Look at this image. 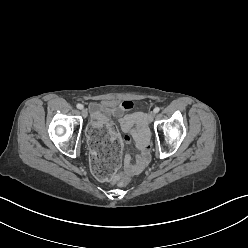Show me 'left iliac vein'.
<instances>
[{
  "label": "left iliac vein",
  "instance_id": "4c4485c4",
  "mask_svg": "<svg viewBox=\"0 0 248 248\" xmlns=\"http://www.w3.org/2000/svg\"><path fill=\"white\" fill-rule=\"evenodd\" d=\"M154 118H155V113L154 112H150L148 114L147 120H148L149 123H151L154 120Z\"/></svg>",
  "mask_w": 248,
  "mask_h": 248
}]
</instances>
